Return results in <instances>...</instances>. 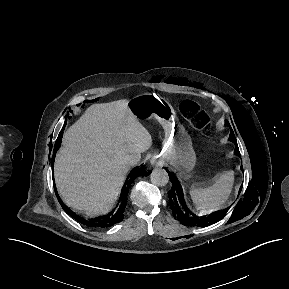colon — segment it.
I'll use <instances>...</instances> for the list:
<instances>
[{
  "label": "colon",
  "mask_w": 289,
  "mask_h": 289,
  "mask_svg": "<svg viewBox=\"0 0 289 289\" xmlns=\"http://www.w3.org/2000/svg\"><path fill=\"white\" fill-rule=\"evenodd\" d=\"M182 108L189 117L196 119L198 121H203L202 111L200 107L194 102L186 100L183 102Z\"/></svg>",
  "instance_id": "colon-1"
}]
</instances>
